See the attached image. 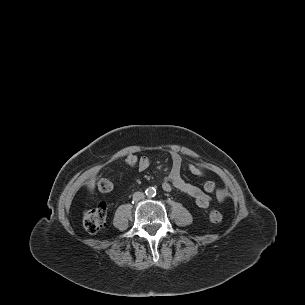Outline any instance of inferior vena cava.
<instances>
[{"label": "inferior vena cava", "instance_id": "obj_1", "mask_svg": "<svg viewBox=\"0 0 305 305\" xmlns=\"http://www.w3.org/2000/svg\"><path fill=\"white\" fill-rule=\"evenodd\" d=\"M144 193H142V192H135L134 194H133V200L134 201H140V200H142L143 198H144Z\"/></svg>", "mask_w": 305, "mask_h": 305}]
</instances>
